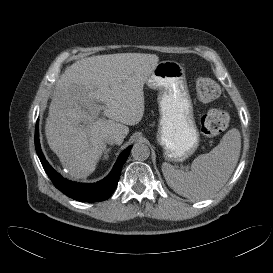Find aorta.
Segmentation results:
<instances>
[{"label":"aorta","instance_id":"aorta-1","mask_svg":"<svg viewBox=\"0 0 273 273\" xmlns=\"http://www.w3.org/2000/svg\"><path fill=\"white\" fill-rule=\"evenodd\" d=\"M131 154L136 160H146L150 155V149L146 144L136 143L132 147Z\"/></svg>","mask_w":273,"mask_h":273}]
</instances>
